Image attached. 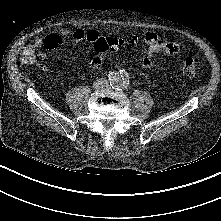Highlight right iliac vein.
<instances>
[{
    "label": "right iliac vein",
    "instance_id": "right-iliac-vein-1",
    "mask_svg": "<svg viewBox=\"0 0 221 221\" xmlns=\"http://www.w3.org/2000/svg\"><path fill=\"white\" fill-rule=\"evenodd\" d=\"M104 86V83L102 81H96L93 84V87L96 89L102 88Z\"/></svg>",
    "mask_w": 221,
    "mask_h": 221
}]
</instances>
